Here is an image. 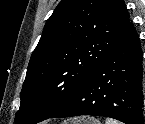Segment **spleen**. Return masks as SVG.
Listing matches in <instances>:
<instances>
[{
  "mask_svg": "<svg viewBox=\"0 0 145 124\" xmlns=\"http://www.w3.org/2000/svg\"><path fill=\"white\" fill-rule=\"evenodd\" d=\"M106 124H121V123L113 119H106Z\"/></svg>",
  "mask_w": 145,
  "mask_h": 124,
  "instance_id": "spleen-1",
  "label": "spleen"
}]
</instances>
